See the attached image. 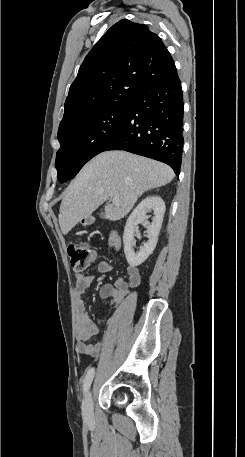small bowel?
<instances>
[{"label": "small bowel", "mask_w": 245, "mask_h": 457, "mask_svg": "<svg viewBox=\"0 0 245 457\" xmlns=\"http://www.w3.org/2000/svg\"><path fill=\"white\" fill-rule=\"evenodd\" d=\"M120 247L115 248L118 250ZM113 269V265L101 262L96 266V272L106 273ZM128 281L118 278L114 283H106L100 289L102 299H110L111 305L117 307L126 297L130 288L137 287L141 283L139 270L134 266L127 267ZM94 276L92 274L76 273V342L78 351L88 356H98L102 350H113L123 346L127 336V329L123 327L109 326L102 338L95 343L88 341L97 334L101 326L92 319L86 310V292L90 287Z\"/></svg>", "instance_id": "small-bowel-1"}]
</instances>
